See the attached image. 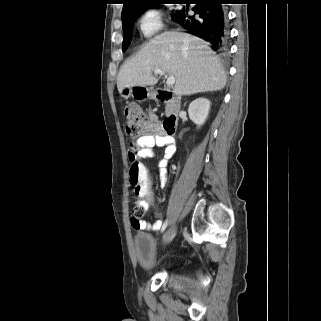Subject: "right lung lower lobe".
<instances>
[{"label":"right lung lower lobe","instance_id":"1","mask_svg":"<svg viewBox=\"0 0 321 321\" xmlns=\"http://www.w3.org/2000/svg\"><path fill=\"white\" fill-rule=\"evenodd\" d=\"M194 3L193 15L183 7L172 15V20L190 33L210 42L215 50L223 48L226 42V19L222 4L226 0H188Z\"/></svg>","mask_w":321,"mask_h":321}]
</instances>
